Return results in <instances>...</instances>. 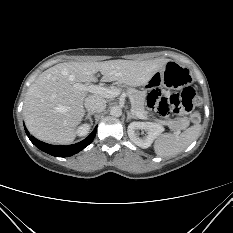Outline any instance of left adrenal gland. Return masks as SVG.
Returning <instances> with one entry per match:
<instances>
[{
  "label": "left adrenal gland",
  "instance_id": "left-adrenal-gland-1",
  "mask_svg": "<svg viewBox=\"0 0 233 233\" xmlns=\"http://www.w3.org/2000/svg\"><path fill=\"white\" fill-rule=\"evenodd\" d=\"M130 119H137V117L134 116L130 111H127V122L130 121Z\"/></svg>",
  "mask_w": 233,
  "mask_h": 233
}]
</instances>
